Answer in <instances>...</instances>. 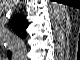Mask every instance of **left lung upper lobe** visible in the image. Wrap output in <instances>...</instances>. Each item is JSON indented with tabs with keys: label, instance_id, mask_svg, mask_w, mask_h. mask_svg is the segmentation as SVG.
<instances>
[{
	"label": "left lung upper lobe",
	"instance_id": "obj_1",
	"mask_svg": "<svg viewBox=\"0 0 80 60\" xmlns=\"http://www.w3.org/2000/svg\"><path fill=\"white\" fill-rule=\"evenodd\" d=\"M11 28L21 37L26 36L27 21L24 16L17 14L10 23Z\"/></svg>",
	"mask_w": 80,
	"mask_h": 60
}]
</instances>
